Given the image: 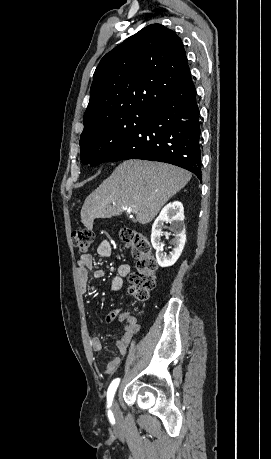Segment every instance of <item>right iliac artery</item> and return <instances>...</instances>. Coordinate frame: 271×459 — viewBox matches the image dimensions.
Segmentation results:
<instances>
[{"label":"right iliac artery","instance_id":"obj_1","mask_svg":"<svg viewBox=\"0 0 271 459\" xmlns=\"http://www.w3.org/2000/svg\"><path fill=\"white\" fill-rule=\"evenodd\" d=\"M119 382H120V379H119V378L114 379V380L112 381V383L110 384L109 388H108V391H107V403H108L107 407H108V408H109V407L111 406V404H112V400H113L114 394H115V392H116V389H117V387H118V385H119ZM108 417H109V419H110V422L113 423V422H114V418H113V415H112V413H111L110 410L108 411Z\"/></svg>","mask_w":271,"mask_h":459}]
</instances>
